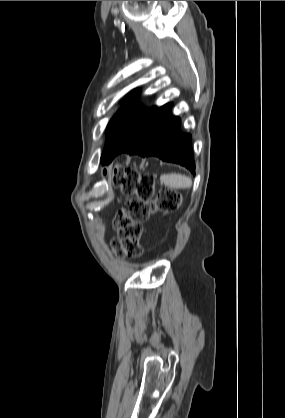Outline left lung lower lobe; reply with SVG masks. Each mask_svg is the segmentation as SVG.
<instances>
[{"instance_id":"1","label":"left lung lower lobe","mask_w":285,"mask_h":418,"mask_svg":"<svg viewBox=\"0 0 285 418\" xmlns=\"http://www.w3.org/2000/svg\"><path fill=\"white\" fill-rule=\"evenodd\" d=\"M171 108L172 103L158 108L122 153L156 156L183 165L194 173L191 135L180 131V119L171 115Z\"/></svg>"}]
</instances>
